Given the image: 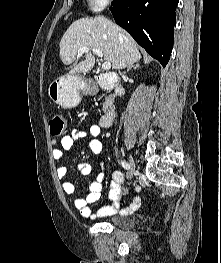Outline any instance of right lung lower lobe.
Instances as JSON below:
<instances>
[{
    "mask_svg": "<svg viewBox=\"0 0 221 263\" xmlns=\"http://www.w3.org/2000/svg\"><path fill=\"white\" fill-rule=\"evenodd\" d=\"M178 0H114L115 22L163 67L173 48Z\"/></svg>",
    "mask_w": 221,
    "mask_h": 263,
    "instance_id": "right-lung-lower-lobe-1",
    "label": "right lung lower lobe"
}]
</instances>
